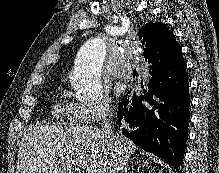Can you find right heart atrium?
Here are the masks:
<instances>
[{"mask_svg": "<svg viewBox=\"0 0 219 173\" xmlns=\"http://www.w3.org/2000/svg\"><path fill=\"white\" fill-rule=\"evenodd\" d=\"M112 112L109 97L101 94L98 99L90 104L75 105V119L82 124H92L106 119Z\"/></svg>", "mask_w": 219, "mask_h": 173, "instance_id": "1", "label": "right heart atrium"}]
</instances>
